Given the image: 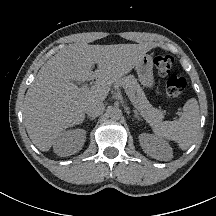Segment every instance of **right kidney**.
<instances>
[{
	"label": "right kidney",
	"mask_w": 216,
	"mask_h": 216,
	"mask_svg": "<svg viewBox=\"0 0 216 216\" xmlns=\"http://www.w3.org/2000/svg\"><path fill=\"white\" fill-rule=\"evenodd\" d=\"M86 139V131L73 129L62 132L53 144L54 152L61 156H71L82 149Z\"/></svg>",
	"instance_id": "right-kidney-1"
}]
</instances>
